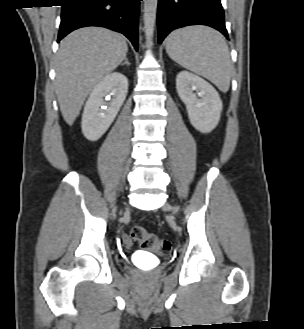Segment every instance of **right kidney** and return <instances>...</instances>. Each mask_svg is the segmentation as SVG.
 <instances>
[{
  "label": "right kidney",
  "mask_w": 304,
  "mask_h": 329,
  "mask_svg": "<svg viewBox=\"0 0 304 329\" xmlns=\"http://www.w3.org/2000/svg\"><path fill=\"white\" fill-rule=\"evenodd\" d=\"M128 92V79L113 72L100 81L91 92L82 115V132L90 141L98 140L114 121ZM108 95L113 98L107 102Z\"/></svg>",
  "instance_id": "right-kidney-1"
}]
</instances>
